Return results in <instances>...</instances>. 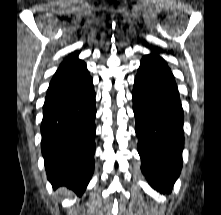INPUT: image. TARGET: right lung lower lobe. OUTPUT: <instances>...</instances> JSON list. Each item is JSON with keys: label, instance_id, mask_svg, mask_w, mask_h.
<instances>
[{"label": "right lung lower lobe", "instance_id": "obj_1", "mask_svg": "<svg viewBox=\"0 0 221 215\" xmlns=\"http://www.w3.org/2000/svg\"><path fill=\"white\" fill-rule=\"evenodd\" d=\"M95 92L88 71L50 87L43 106L41 148L52 187L81 195L94 171Z\"/></svg>", "mask_w": 221, "mask_h": 215}]
</instances>
